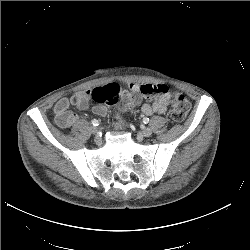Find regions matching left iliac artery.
I'll use <instances>...</instances> for the list:
<instances>
[{
  "instance_id": "left-iliac-artery-1",
  "label": "left iliac artery",
  "mask_w": 250,
  "mask_h": 250,
  "mask_svg": "<svg viewBox=\"0 0 250 250\" xmlns=\"http://www.w3.org/2000/svg\"><path fill=\"white\" fill-rule=\"evenodd\" d=\"M143 122H144L145 124H148V123H149V118H144V119H143Z\"/></svg>"
}]
</instances>
